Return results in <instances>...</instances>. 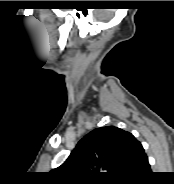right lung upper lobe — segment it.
<instances>
[{"label":"right lung upper lobe","mask_w":174,"mask_h":184,"mask_svg":"<svg viewBox=\"0 0 174 184\" xmlns=\"http://www.w3.org/2000/svg\"><path fill=\"white\" fill-rule=\"evenodd\" d=\"M145 159L141 143L131 133L105 126L84 136L53 172L66 184L118 183L128 179Z\"/></svg>","instance_id":"obj_1"}]
</instances>
